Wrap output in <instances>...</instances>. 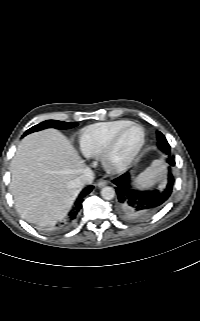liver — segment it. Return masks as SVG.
<instances>
[{"label": "liver", "mask_w": 200, "mask_h": 321, "mask_svg": "<svg viewBox=\"0 0 200 321\" xmlns=\"http://www.w3.org/2000/svg\"><path fill=\"white\" fill-rule=\"evenodd\" d=\"M84 167L69 140L55 129L23 138L11 162L10 189L17 212L38 225L63 219L81 190L74 182Z\"/></svg>", "instance_id": "6515ba94"}]
</instances>
